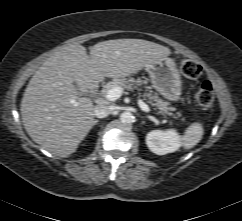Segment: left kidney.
Listing matches in <instances>:
<instances>
[{"instance_id":"5707ae66","label":"left kidney","mask_w":242,"mask_h":221,"mask_svg":"<svg viewBox=\"0 0 242 221\" xmlns=\"http://www.w3.org/2000/svg\"><path fill=\"white\" fill-rule=\"evenodd\" d=\"M146 144L155 154L165 155L175 152L181 146L180 136L174 129L154 130L147 134Z\"/></svg>"}]
</instances>
